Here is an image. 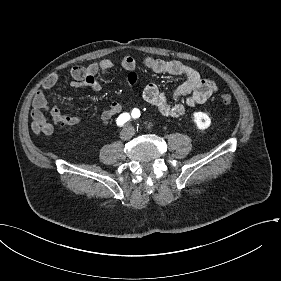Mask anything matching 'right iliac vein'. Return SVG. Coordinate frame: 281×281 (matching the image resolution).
I'll use <instances>...</instances> for the list:
<instances>
[{
	"label": "right iliac vein",
	"instance_id": "right-iliac-vein-1",
	"mask_svg": "<svg viewBox=\"0 0 281 281\" xmlns=\"http://www.w3.org/2000/svg\"><path fill=\"white\" fill-rule=\"evenodd\" d=\"M125 135H126V133H125V132H121V138H124V137H125Z\"/></svg>",
	"mask_w": 281,
	"mask_h": 281
}]
</instances>
